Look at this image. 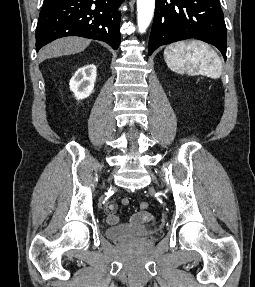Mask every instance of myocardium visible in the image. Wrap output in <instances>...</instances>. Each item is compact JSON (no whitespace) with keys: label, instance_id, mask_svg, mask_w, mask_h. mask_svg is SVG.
Here are the masks:
<instances>
[{"label":"myocardium","instance_id":"myocardium-1","mask_svg":"<svg viewBox=\"0 0 255 287\" xmlns=\"http://www.w3.org/2000/svg\"><path fill=\"white\" fill-rule=\"evenodd\" d=\"M149 48H167V47H149Z\"/></svg>","mask_w":255,"mask_h":287}]
</instances>
